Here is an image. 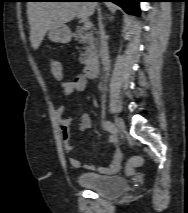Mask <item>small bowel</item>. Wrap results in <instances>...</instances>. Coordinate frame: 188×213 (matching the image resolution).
<instances>
[{
  "instance_id": "obj_1",
  "label": "small bowel",
  "mask_w": 188,
  "mask_h": 213,
  "mask_svg": "<svg viewBox=\"0 0 188 213\" xmlns=\"http://www.w3.org/2000/svg\"><path fill=\"white\" fill-rule=\"evenodd\" d=\"M60 87L62 93L68 97L74 92L84 91L87 87V79L84 76H77L71 81H62ZM56 116L58 117L60 123V132L64 142V149L67 153H70L74 149V145L71 143V116L66 114L65 108L62 105L58 106V108L56 109ZM79 124L81 131L86 132L91 126L90 116L86 113L82 114ZM108 143L116 144L117 139L114 136H110L108 139ZM122 160V152L119 147H116L110 164L99 167L98 171L103 174L115 173L120 170ZM69 163L74 168L84 167L89 170L95 169L93 166L83 165L82 162L76 157H70Z\"/></svg>"
}]
</instances>
